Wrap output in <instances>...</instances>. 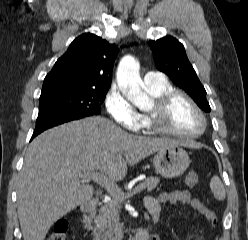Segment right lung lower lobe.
<instances>
[{"label": "right lung lower lobe", "mask_w": 248, "mask_h": 240, "mask_svg": "<svg viewBox=\"0 0 248 240\" xmlns=\"http://www.w3.org/2000/svg\"><path fill=\"white\" fill-rule=\"evenodd\" d=\"M83 117L80 116H38L37 121H36V127L33 132V135L31 137V140L43 132L46 129H49L51 127L57 126L59 124L72 121V120H77Z\"/></svg>", "instance_id": "98d812e1"}]
</instances>
